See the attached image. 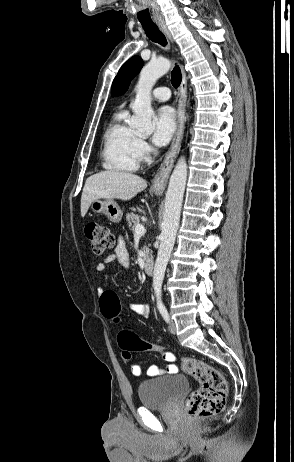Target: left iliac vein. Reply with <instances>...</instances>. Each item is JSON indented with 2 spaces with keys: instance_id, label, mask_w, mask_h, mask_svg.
<instances>
[{
  "instance_id": "4c4485c4",
  "label": "left iliac vein",
  "mask_w": 294,
  "mask_h": 462,
  "mask_svg": "<svg viewBox=\"0 0 294 462\" xmlns=\"http://www.w3.org/2000/svg\"><path fill=\"white\" fill-rule=\"evenodd\" d=\"M169 331L171 334H176V325L173 321H171L169 324Z\"/></svg>"
}]
</instances>
